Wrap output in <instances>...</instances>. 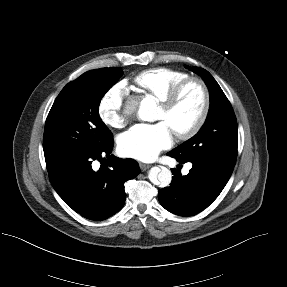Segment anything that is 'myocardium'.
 I'll return each mask as SVG.
<instances>
[{
  "mask_svg": "<svg viewBox=\"0 0 287 287\" xmlns=\"http://www.w3.org/2000/svg\"><path fill=\"white\" fill-rule=\"evenodd\" d=\"M191 84H195L199 87L201 90L202 96H203V104H202V109L201 112L197 118V120L194 122V124L189 127L186 130L183 131H177L174 132L175 136L179 140H188L195 136L203 127L205 124L210 107H211V96H210V91L206 85V83L198 77H188L181 82H179L166 96V98L162 101H160V107L165 113H170L172 112L175 107L177 106L183 92L185 89L190 86Z\"/></svg>",
  "mask_w": 287,
  "mask_h": 287,
  "instance_id": "1",
  "label": "myocardium"
}]
</instances>
